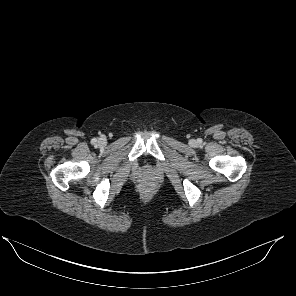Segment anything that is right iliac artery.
Wrapping results in <instances>:
<instances>
[{
    "label": "right iliac artery",
    "mask_w": 296,
    "mask_h": 296,
    "mask_svg": "<svg viewBox=\"0 0 296 296\" xmlns=\"http://www.w3.org/2000/svg\"><path fill=\"white\" fill-rule=\"evenodd\" d=\"M91 142H92L93 144H95V143L97 142V139H96V138H93V139L91 140Z\"/></svg>",
    "instance_id": "right-iliac-artery-1"
}]
</instances>
